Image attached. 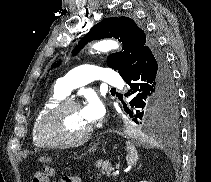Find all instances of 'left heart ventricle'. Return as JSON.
<instances>
[{
    "label": "left heart ventricle",
    "instance_id": "obj_1",
    "mask_svg": "<svg viewBox=\"0 0 211 182\" xmlns=\"http://www.w3.org/2000/svg\"><path fill=\"white\" fill-rule=\"evenodd\" d=\"M90 126L81 108L70 107L51 121L48 133L53 138H73L82 135Z\"/></svg>",
    "mask_w": 211,
    "mask_h": 182
}]
</instances>
